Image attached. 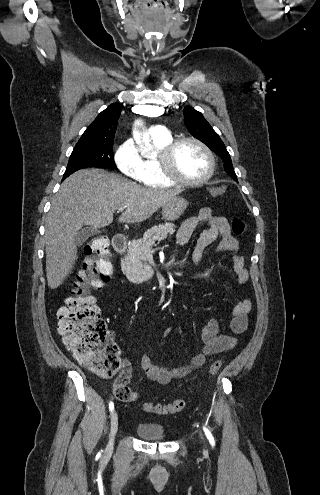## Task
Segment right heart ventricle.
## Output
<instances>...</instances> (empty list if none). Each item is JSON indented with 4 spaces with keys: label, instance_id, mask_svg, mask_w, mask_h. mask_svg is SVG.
<instances>
[{
    "label": "right heart ventricle",
    "instance_id": "obj_1",
    "mask_svg": "<svg viewBox=\"0 0 320 495\" xmlns=\"http://www.w3.org/2000/svg\"><path fill=\"white\" fill-rule=\"evenodd\" d=\"M149 140L154 146L155 152L142 159L144 179L143 183L152 188H168L175 183L168 180L161 172L159 154L161 150L172 141V137H154L149 135Z\"/></svg>",
    "mask_w": 320,
    "mask_h": 495
}]
</instances>
